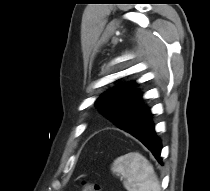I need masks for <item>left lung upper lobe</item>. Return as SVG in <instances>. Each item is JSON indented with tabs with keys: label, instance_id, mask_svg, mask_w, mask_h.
Returning <instances> with one entry per match:
<instances>
[{
	"label": "left lung upper lobe",
	"instance_id": "obj_1",
	"mask_svg": "<svg viewBox=\"0 0 210 191\" xmlns=\"http://www.w3.org/2000/svg\"><path fill=\"white\" fill-rule=\"evenodd\" d=\"M136 86L134 81L116 86L102 94L95 102V107L101 113L128 133L135 130L138 124L136 119H131V113L142 105V93Z\"/></svg>",
	"mask_w": 210,
	"mask_h": 191
}]
</instances>
